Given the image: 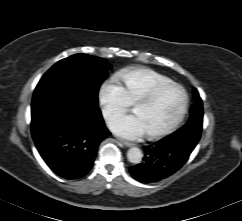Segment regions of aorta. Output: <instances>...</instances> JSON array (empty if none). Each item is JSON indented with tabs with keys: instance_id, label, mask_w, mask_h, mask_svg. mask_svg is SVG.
I'll use <instances>...</instances> for the list:
<instances>
[{
	"instance_id": "762f6f07",
	"label": "aorta",
	"mask_w": 242,
	"mask_h": 221,
	"mask_svg": "<svg viewBox=\"0 0 242 221\" xmlns=\"http://www.w3.org/2000/svg\"><path fill=\"white\" fill-rule=\"evenodd\" d=\"M143 154L138 147H132L127 152V159L133 164H139L142 161Z\"/></svg>"
}]
</instances>
